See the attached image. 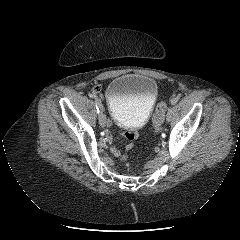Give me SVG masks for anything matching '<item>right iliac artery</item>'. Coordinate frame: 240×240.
<instances>
[{"instance_id":"82829eb1","label":"right iliac artery","mask_w":240,"mask_h":240,"mask_svg":"<svg viewBox=\"0 0 240 240\" xmlns=\"http://www.w3.org/2000/svg\"><path fill=\"white\" fill-rule=\"evenodd\" d=\"M95 103H96L97 113L100 114L103 110L102 103L98 98L95 99Z\"/></svg>"}]
</instances>
